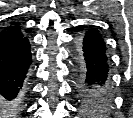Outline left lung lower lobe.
I'll use <instances>...</instances> for the list:
<instances>
[{
	"label": "left lung lower lobe",
	"mask_w": 133,
	"mask_h": 118,
	"mask_svg": "<svg viewBox=\"0 0 133 118\" xmlns=\"http://www.w3.org/2000/svg\"><path fill=\"white\" fill-rule=\"evenodd\" d=\"M85 66L80 87L112 100L109 79V58L103 38L93 29L79 38Z\"/></svg>",
	"instance_id": "left-lung-lower-lobe-1"
}]
</instances>
